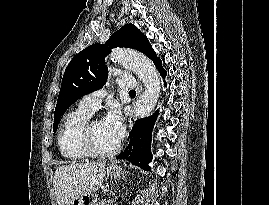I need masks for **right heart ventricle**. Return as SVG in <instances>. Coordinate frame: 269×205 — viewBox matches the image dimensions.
<instances>
[{
	"instance_id": "e07e8e85",
	"label": "right heart ventricle",
	"mask_w": 269,
	"mask_h": 205,
	"mask_svg": "<svg viewBox=\"0 0 269 205\" xmlns=\"http://www.w3.org/2000/svg\"><path fill=\"white\" fill-rule=\"evenodd\" d=\"M91 115L80 106L65 115L57 143L62 157L67 161L79 162L89 157L81 146L80 134Z\"/></svg>"
}]
</instances>
